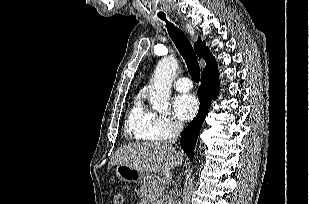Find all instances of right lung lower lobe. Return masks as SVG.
I'll return each instance as SVG.
<instances>
[{"label": "right lung lower lobe", "instance_id": "1", "mask_svg": "<svg viewBox=\"0 0 309 204\" xmlns=\"http://www.w3.org/2000/svg\"><path fill=\"white\" fill-rule=\"evenodd\" d=\"M219 89L220 85L218 82L217 67L202 72L201 86L198 90L200 101L198 114L181 134L182 148L191 159L193 158V150L195 149L196 140L207 115L210 102L217 97Z\"/></svg>", "mask_w": 309, "mask_h": 204}]
</instances>
